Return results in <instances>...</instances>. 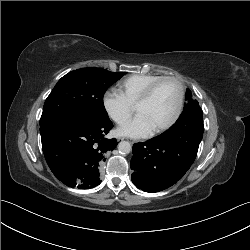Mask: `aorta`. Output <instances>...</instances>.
<instances>
[{"instance_id": "obj_1", "label": "aorta", "mask_w": 250, "mask_h": 250, "mask_svg": "<svg viewBox=\"0 0 250 250\" xmlns=\"http://www.w3.org/2000/svg\"><path fill=\"white\" fill-rule=\"evenodd\" d=\"M131 149H132V146L129 142L127 141H121L119 144H118V150L120 153L122 154H128L131 152Z\"/></svg>"}]
</instances>
